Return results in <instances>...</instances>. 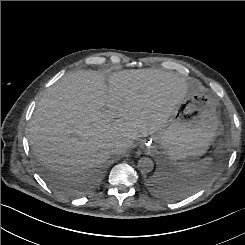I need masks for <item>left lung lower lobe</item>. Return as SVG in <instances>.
Masks as SVG:
<instances>
[{
	"label": "left lung lower lobe",
	"instance_id": "1",
	"mask_svg": "<svg viewBox=\"0 0 245 245\" xmlns=\"http://www.w3.org/2000/svg\"><path fill=\"white\" fill-rule=\"evenodd\" d=\"M168 174H163L160 177H152L147 181V187L155 194H160L161 197L168 199L172 195H181L187 192L188 185L179 180L172 178Z\"/></svg>",
	"mask_w": 245,
	"mask_h": 245
}]
</instances>
